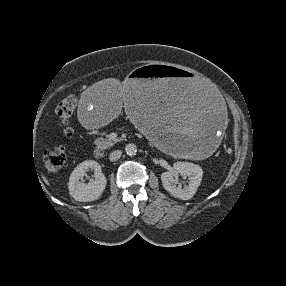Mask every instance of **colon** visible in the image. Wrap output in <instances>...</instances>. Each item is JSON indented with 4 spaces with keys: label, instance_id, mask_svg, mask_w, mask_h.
<instances>
[{
    "label": "colon",
    "instance_id": "5ec220e1",
    "mask_svg": "<svg viewBox=\"0 0 286 286\" xmlns=\"http://www.w3.org/2000/svg\"><path fill=\"white\" fill-rule=\"evenodd\" d=\"M76 100L75 96H67L56 107V115L62 124V132L66 136L73 133L72 128L69 126V120L75 111ZM66 160L67 154L62 147L50 148L43 155V163L47 170L51 172L59 171L66 163Z\"/></svg>",
    "mask_w": 286,
    "mask_h": 286
}]
</instances>
